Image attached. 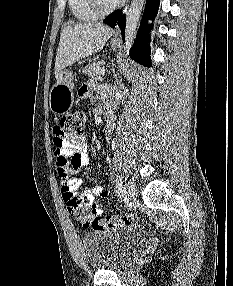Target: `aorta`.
Returning <instances> with one entry per match:
<instances>
[{"mask_svg":"<svg viewBox=\"0 0 233 286\" xmlns=\"http://www.w3.org/2000/svg\"><path fill=\"white\" fill-rule=\"evenodd\" d=\"M145 0H131V4L126 14V27H125V41H126V53L125 57L129 55V49L131 47L136 28L138 26L141 12L143 9Z\"/></svg>","mask_w":233,"mask_h":286,"instance_id":"1","label":"aorta"}]
</instances>
